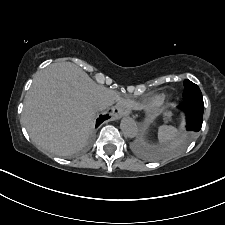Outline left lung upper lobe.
Instances as JSON below:
<instances>
[{
	"label": "left lung upper lobe",
	"mask_w": 225,
	"mask_h": 225,
	"mask_svg": "<svg viewBox=\"0 0 225 225\" xmlns=\"http://www.w3.org/2000/svg\"><path fill=\"white\" fill-rule=\"evenodd\" d=\"M184 86H185V90L183 93L184 101H194V100L203 101L201 91L196 84L186 79L184 81Z\"/></svg>",
	"instance_id": "obj_1"
}]
</instances>
